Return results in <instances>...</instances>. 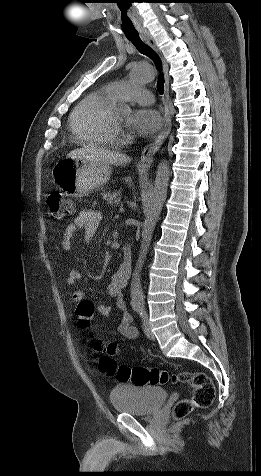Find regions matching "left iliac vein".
I'll return each mask as SVG.
<instances>
[{
	"label": "left iliac vein",
	"mask_w": 261,
	"mask_h": 476,
	"mask_svg": "<svg viewBox=\"0 0 261 476\" xmlns=\"http://www.w3.org/2000/svg\"><path fill=\"white\" fill-rule=\"evenodd\" d=\"M143 331L149 339H151V340L154 339V334L151 331L147 314L143 315Z\"/></svg>",
	"instance_id": "left-iliac-vein-1"
}]
</instances>
